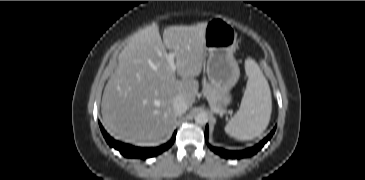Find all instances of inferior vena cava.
<instances>
[{"instance_id":"602c4592","label":"inferior vena cava","mask_w":365,"mask_h":180,"mask_svg":"<svg viewBox=\"0 0 365 180\" xmlns=\"http://www.w3.org/2000/svg\"><path fill=\"white\" fill-rule=\"evenodd\" d=\"M187 104L184 101V99L180 96L176 97L173 101V109L176 113V115L180 116L184 114L187 111Z\"/></svg>"}]
</instances>
